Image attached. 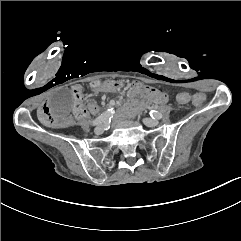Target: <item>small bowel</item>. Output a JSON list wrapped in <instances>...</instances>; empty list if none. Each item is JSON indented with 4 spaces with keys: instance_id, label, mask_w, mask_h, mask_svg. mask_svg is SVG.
<instances>
[{
    "instance_id": "1",
    "label": "small bowel",
    "mask_w": 241,
    "mask_h": 241,
    "mask_svg": "<svg viewBox=\"0 0 241 241\" xmlns=\"http://www.w3.org/2000/svg\"><path fill=\"white\" fill-rule=\"evenodd\" d=\"M102 84L103 87L101 90H99L101 92L112 93L117 92L118 90H120L121 92H128L130 90V83L128 81H121L120 83L116 81H106L102 82ZM131 88L134 91L139 90L145 92L147 95H149L150 98L155 100L157 103H164L166 101V94L164 92H158L154 90L153 87L144 82H134L132 83ZM52 105L53 101L50 96L44 95L39 98V101L36 106L37 113L35 116L36 123L39 126L58 128L60 126V123L62 126L65 127L74 122V117L68 115L59 123L56 114L50 111ZM89 107L92 112H95L97 110L96 104L94 102H91Z\"/></svg>"
}]
</instances>
